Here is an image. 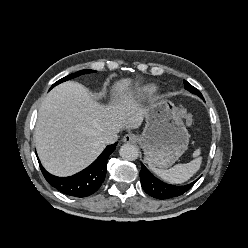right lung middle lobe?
I'll list each match as a JSON object with an SVG mask.
<instances>
[{
	"label": "right lung middle lobe",
	"instance_id": "obj_1",
	"mask_svg": "<svg viewBox=\"0 0 248 248\" xmlns=\"http://www.w3.org/2000/svg\"><path fill=\"white\" fill-rule=\"evenodd\" d=\"M93 72H95V71L94 70H91V69H85V70H81V71H78L76 73L70 74V75H68V76H66V77L58 80L56 83H54L52 85L51 88H53L54 86L58 85L59 83H62L64 81L70 80V79L75 78V77H78V76H80L82 74L93 73Z\"/></svg>",
	"mask_w": 248,
	"mask_h": 248
}]
</instances>
